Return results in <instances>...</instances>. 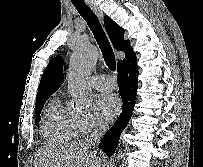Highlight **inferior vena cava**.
I'll list each match as a JSON object with an SVG mask.
<instances>
[{
  "label": "inferior vena cava",
  "mask_w": 203,
  "mask_h": 167,
  "mask_svg": "<svg viewBox=\"0 0 203 167\" xmlns=\"http://www.w3.org/2000/svg\"><path fill=\"white\" fill-rule=\"evenodd\" d=\"M104 130H105V126H103V128L100 130L94 131L93 134L91 135L89 143H93L95 140L99 139L100 136L103 134Z\"/></svg>",
  "instance_id": "obj_1"
}]
</instances>
